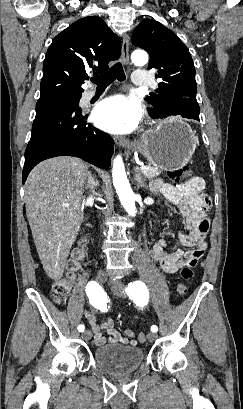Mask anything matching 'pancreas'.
Wrapping results in <instances>:
<instances>
[{
	"mask_svg": "<svg viewBox=\"0 0 243 409\" xmlns=\"http://www.w3.org/2000/svg\"><path fill=\"white\" fill-rule=\"evenodd\" d=\"M161 172L162 171L156 167L147 166V169L143 172V175L148 180H152L153 178L159 176Z\"/></svg>",
	"mask_w": 243,
	"mask_h": 409,
	"instance_id": "1",
	"label": "pancreas"
}]
</instances>
